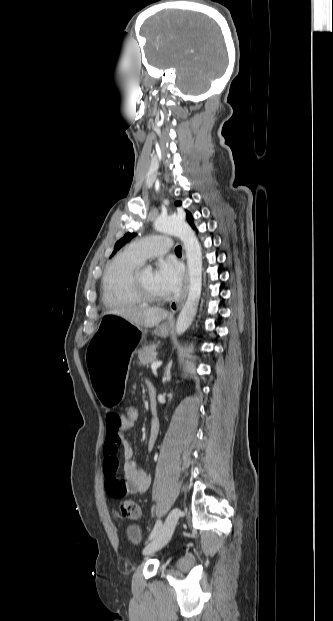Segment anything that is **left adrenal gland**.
<instances>
[{
	"label": "left adrenal gland",
	"instance_id": "left-adrenal-gland-1",
	"mask_svg": "<svg viewBox=\"0 0 333 621\" xmlns=\"http://www.w3.org/2000/svg\"><path fill=\"white\" fill-rule=\"evenodd\" d=\"M170 369H171V364L168 366V368H167V372H166V376H165V379H166L167 381H170V379H171Z\"/></svg>",
	"mask_w": 333,
	"mask_h": 621
}]
</instances>
